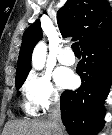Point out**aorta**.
Instances as JSON below:
<instances>
[{
	"instance_id": "762f6f07",
	"label": "aorta",
	"mask_w": 112,
	"mask_h": 135,
	"mask_svg": "<svg viewBox=\"0 0 112 135\" xmlns=\"http://www.w3.org/2000/svg\"><path fill=\"white\" fill-rule=\"evenodd\" d=\"M46 53L47 51L45 43L41 42L35 47L32 55L33 68H35L36 70H40L44 67L46 60Z\"/></svg>"
}]
</instances>
